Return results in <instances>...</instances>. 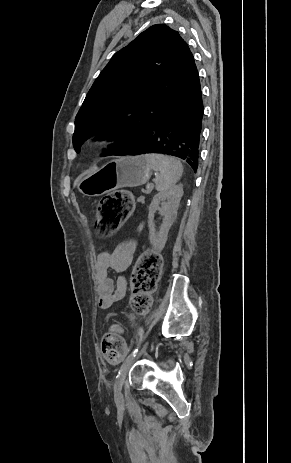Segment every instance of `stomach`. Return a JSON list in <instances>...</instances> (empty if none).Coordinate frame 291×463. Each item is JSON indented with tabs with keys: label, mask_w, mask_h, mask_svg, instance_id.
I'll use <instances>...</instances> for the list:
<instances>
[{
	"label": "stomach",
	"mask_w": 291,
	"mask_h": 463,
	"mask_svg": "<svg viewBox=\"0 0 291 463\" xmlns=\"http://www.w3.org/2000/svg\"><path fill=\"white\" fill-rule=\"evenodd\" d=\"M151 176V166L145 156H127L106 163L99 169L86 171L76 185L87 196H100L123 187L145 184Z\"/></svg>",
	"instance_id": "1"
}]
</instances>
